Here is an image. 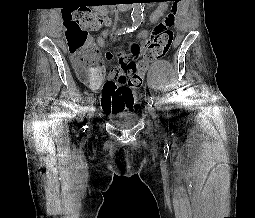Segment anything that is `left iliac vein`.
Here are the masks:
<instances>
[{
    "label": "left iliac vein",
    "instance_id": "left-iliac-vein-1",
    "mask_svg": "<svg viewBox=\"0 0 255 218\" xmlns=\"http://www.w3.org/2000/svg\"><path fill=\"white\" fill-rule=\"evenodd\" d=\"M147 108H148L150 115L155 116L156 112H155L154 107L152 105L148 104Z\"/></svg>",
    "mask_w": 255,
    "mask_h": 218
}]
</instances>
